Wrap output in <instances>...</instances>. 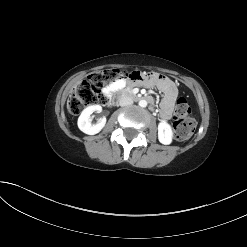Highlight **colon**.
<instances>
[{
	"label": "colon",
	"instance_id": "obj_1",
	"mask_svg": "<svg viewBox=\"0 0 247 247\" xmlns=\"http://www.w3.org/2000/svg\"><path fill=\"white\" fill-rule=\"evenodd\" d=\"M126 74L127 72L117 69H106L91 74L71 96L69 100L71 114L78 115L89 106L106 104L108 96L105 89L117 80L126 79ZM190 113L191 109L187 101L184 98H179L175 107L173 123L177 140H187L195 130L196 123L190 117Z\"/></svg>",
	"mask_w": 247,
	"mask_h": 247
}]
</instances>
